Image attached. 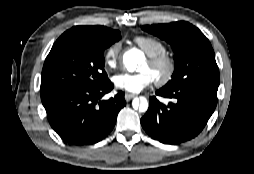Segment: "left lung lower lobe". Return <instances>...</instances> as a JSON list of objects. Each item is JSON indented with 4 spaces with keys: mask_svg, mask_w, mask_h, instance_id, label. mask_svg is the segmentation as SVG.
Wrapping results in <instances>:
<instances>
[{
    "mask_svg": "<svg viewBox=\"0 0 254 174\" xmlns=\"http://www.w3.org/2000/svg\"><path fill=\"white\" fill-rule=\"evenodd\" d=\"M217 86L193 84L179 89L161 88L156 95L172 99L168 105L155 96L141 118L149 136L164 144H179L196 137L205 127L217 105Z\"/></svg>",
    "mask_w": 254,
    "mask_h": 174,
    "instance_id": "left-lung-lower-lobe-1",
    "label": "left lung lower lobe"
}]
</instances>
